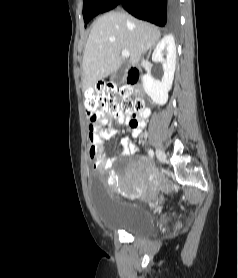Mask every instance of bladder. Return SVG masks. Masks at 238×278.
<instances>
[{
  "instance_id": "1",
  "label": "bladder",
  "mask_w": 238,
  "mask_h": 278,
  "mask_svg": "<svg viewBox=\"0 0 238 278\" xmlns=\"http://www.w3.org/2000/svg\"><path fill=\"white\" fill-rule=\"evenodd\" d=\"M92 199L102 226L111 232H124L134 237H149L166 224L164 216L153 214L140 204H120L108 196L102 181H91Z\"/></svg>"
}]
</instances>
